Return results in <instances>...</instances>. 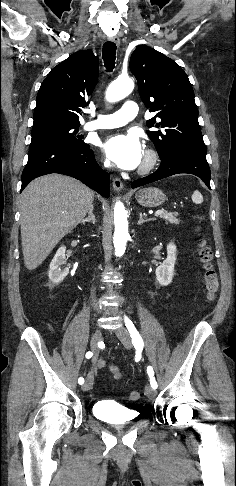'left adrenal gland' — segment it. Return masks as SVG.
Returning <instances> with one entry per match:
<instances>
[{
  "label": "left adrenal gland",
  "mask_w": 236,
  "mask_h": 486,
  "mask_svg": "<svg viewBox=\"0 0 236 486\" xmlns=\"http://www.w3.org/2000/svg\"><path fill=\"white\" fill-rule=\"evenodd\" d=\"M147 221H150V219H143V215H142V213L140 212V213H139L138 225H141V224H143V223H145V222H147Z\"/></svg>",
  "instance_id": "obj_1"
}]
</instances>
